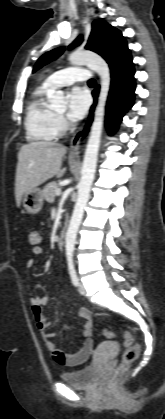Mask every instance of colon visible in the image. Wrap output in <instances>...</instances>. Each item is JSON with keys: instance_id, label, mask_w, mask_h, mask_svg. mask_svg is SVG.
Here are the masks:
<instances>
[{"instance_id": "colon-1", "label": "colon", "mask_w": 165, "mask_h": 419, "mask_svg": "<svg viewBox=\"0 0 165 419\" xmlns=\"http://www.w3.org/2000/svg\"><path fill=\"white\" fill-rule=\"evenodd\" d=\"M31 241L36 242L37 236L32 235ZM102 335L105 338H111L113 336V333L108 329H104L102 331ZM123 343H124L125 350L122 354L120 363L118 364V366L115 368L114 372L108 379L109 386H113L119 381V379L122 377L124 372L130 366V364H132L138 358V355L140 353V346L131 333L127 331L123 332Z\"/></svg>"}]
</instances>
